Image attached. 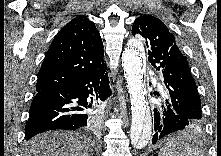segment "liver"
<instances>
[{"label": "liver", "mask_w": 221, "mask_h": 156, "mask_svg": "<svg viewBox=\"0 0 221 156\" xmlns=\"http://www.w3.org/2000/svg\"><path fill=\"white\" fill-rule=\"evenodd\" d=\"M93 144L69 131H49L25 143L23 156H92Z\"/></svg>", "instance_id": "1"}]
</instances>
